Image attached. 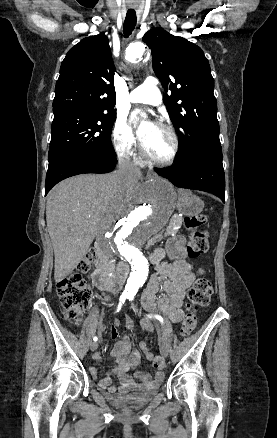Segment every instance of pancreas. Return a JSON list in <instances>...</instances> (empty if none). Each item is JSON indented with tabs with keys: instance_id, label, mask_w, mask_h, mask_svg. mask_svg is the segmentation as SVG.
Returning <instances> with one entry per match:
<instances>
[{
	"instance_id": "obj_1",
	"label": "pancreas",
	"mask_w": 277,
	"mask_h": 438,
	"mask_svg": "<svg viewBox=\"0 0 277 438\" xmlns=\"http://www.w3.org/2000/svg\"><path fill=\"white\" fill-rule=\"evenodd\" d=\"M182 226H183V219H182L181 215L176 214L171 219V224H168L166 226V231L168 233H178L180 231V227H182Z\"/></svg>"
}]
</instances>
